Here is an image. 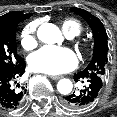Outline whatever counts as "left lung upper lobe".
Returning <instances> with one entry per match:
<instances>
[{
  "label": "left lung upper lobe",
  "mask_w": 117,
  "mask_h": 117,
  "mask_svg": "<svg viewBox=\"0 0 117 117\" xmlns=\"http://www.w3.org/2000/svg\"><path fill=\"white\" fill-rule=\"evenodd\" d=\"M76 14L82 16L89 24L93 32L94 37V50L93 58L89 65L83 70L84 72H94L101 78H104L105 69L107 66L108 58V44H107V33L102 22L89 12L80 8H71Z\"/></svg>",
  "instance_id": "left-lung-upper-lobe-1"
}]
</instances>
